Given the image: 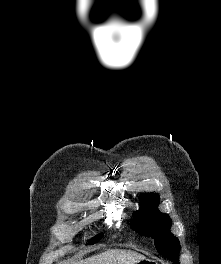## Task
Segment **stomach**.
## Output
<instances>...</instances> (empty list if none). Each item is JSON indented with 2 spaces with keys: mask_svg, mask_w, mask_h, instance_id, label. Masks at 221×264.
Masks as SVG:
<instances>
[{
  "mask_svg": "<svg viewBox=\"0 0 221 264\" xmlns=\"http://www.w3.org/2000/svg\"><path fill=\"white\" fill-rule=\"evenodd\" d=\"M135 264H158V263L152 259H146L145 258L143 260L136 262Z\"/></svg>",
  "mask_w": 221,
  "mask_h": 264,
  "instance_id": "obj_1",
  "label": "stomach"
}]
</instances>
